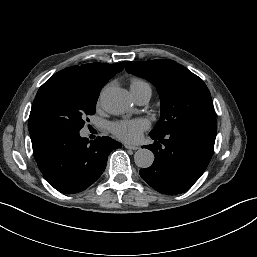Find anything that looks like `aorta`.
<instances>
[{"mask_svg": "<svg viewBox=\"0 0 257 257\" xmlns=\"http://www.w3.org/2000/svg\"><path fill=\"white\" fill-rule=\"evenodd\" d=\"M103 108L111 114H124L131 109L128 91L120 87H107L100 96ZM135 164L140 168H148L153 164L154 154L148 149H139L134 154Z\"/></svg>", "mask_w": 257, "mask_h": 257, "instance_id": "762f6f07", "label": "aorta"}]
</instances>
